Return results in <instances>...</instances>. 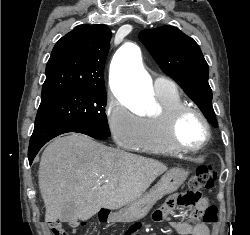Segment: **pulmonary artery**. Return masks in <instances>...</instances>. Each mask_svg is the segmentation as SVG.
<instances>
[{
	"label": "pulmonary artery",
	"instance_id": "1",
	"mask_svg": "<svg viewBox=\"0 0 250 235\" xmlns=\"http://www.w3.org/2000/svg\"><path fill=\"white\" fill-rule=\"evenodd\" d=\"M154 89L157 92H168L176 89L175 84L165 77H157L154 80Z\"/></svg>",
	"mask_w": 250,
	"mask_h": 235
}]
</instances>
